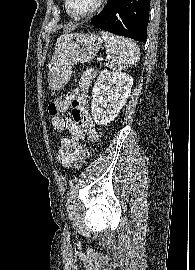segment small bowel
<instances>
[{
  "label": "small bowel",
  "mask_w": 195,
  "mask_h": 270,
  "mask_svg": "<svg viewBox=\"0 0 195 270\" xmlns=\"http://www.w3.org/2000/svg\"><path fill=\"white\" fill-rule=\"evenodd\" d=\"M94 78L93 70L85 71L80 78L79 86L70 93V104L66 110L61 112L70 110V116L55 115L51 118V124L56 130H67L70 133V137L62 136L60 138L57 148V160L65 168H70L77 163L82 150L81 141L84 138L90 141L97 138L94 122L86 109L87 95Z\"/></svg>",
  "instance_id": "1"
}]
</instances>
